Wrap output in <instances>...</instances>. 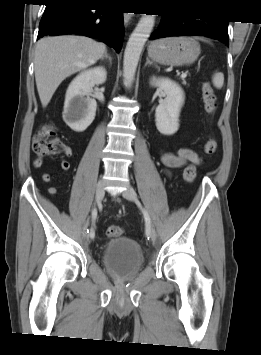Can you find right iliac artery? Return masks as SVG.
<instances>
[{
    "instance_id": "82829eb1",
    "label": "right iliac artery",
    "mask_w": 261,
    "mask_h": 355,
    "mask_svg": "<svg viewBox=\"0 0 261 355\" xmlns=\"http://www.w3.org/2000/svg\"><path fill=\"white\" fill-rule=\"evenodd\" d=\"M92 220L95 221L96 217H97V208H94L92 210V214H91ZM87 233H89V236L91 238H94L95 236V232H94V228L92 227L90 230L87 229Z\"/></svg>"
}]
</instances>
